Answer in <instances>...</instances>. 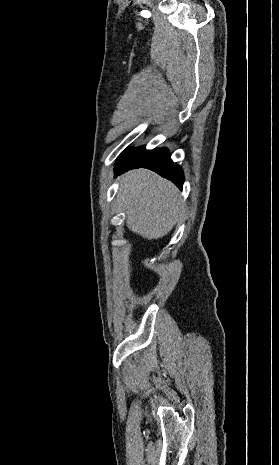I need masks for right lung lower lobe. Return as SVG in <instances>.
<instances>
[{"instance_id": "1", "label": "right lung lower lobe", "mask_w": 279, "mask_h": 465, "mask_svg": "<svg viewBox=\"0 0 279 465\" xmlns=\"http://www.w3.org/2000/svg\"><path fill=\"white\" fill-rule=\"evenodd\" d=\"M140 167L155 171L162 177L167 178L168 180H171L173 183H175V185L179 189H182V185L184 182L183 171L179 165H177L176 163H173V161L170 158V154L168 152L146 164H135V165H130V166L128 165L125 167H116L115 173L116 175H119L132 168H140Z\"/></svg>"}]
</instances>
